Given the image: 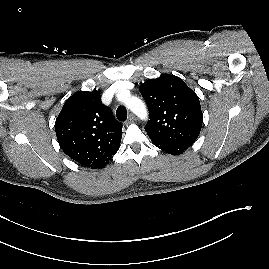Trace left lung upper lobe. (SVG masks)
I'll list each match as a JSON object with an SVG mask.
<instances>
[{
	"mask_svg": "<svg viewBox=\"0 0 269 269\" xmlns=\"http://www.w3.org/2000/svg\"><path fill=\"white\" fill-rule=\"evenodd\" d=\"M139 90L149 109L145 130L151 141L193 144L202 127L199 98L185 82L164 74L140 85Z\"/></svg>",
	"mask_w": 269,
	"mask_h": 269,
	"instance_id": "1",
	"label": "left lung upper lobe"
}]
</instances>
